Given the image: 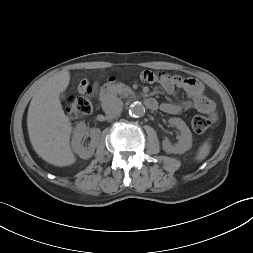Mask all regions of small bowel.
Here are the masks:
<instances>
[{"mask_svg": "<svg viewBox=\"0 0 253 253\" xmlns=\"http://www.w3.org/2000/svg\"><path fill=\"white\" fill-rule=\"evenodd\" d=\"M141 79L145 82H157L161 87L171 94L176 88L182 89L188 100L182 102H163L160 109L167 114H179L180 112L188 109H195L198 112L204 113L209 116L212 121L216 120L215 104L205 95V88L201 81L195 78H185L180 75H169L164 72L154 73L145 71L141 74ZM89 87V82L83 79L79 83V91L83 92ZM99 89V81H95L92 85V90L97 93Z\"/></svg>", "mask_w": 253, "mask_h": 253, "instance_id": "c3829d8e", "label": "small bowel"}]
</instances>
